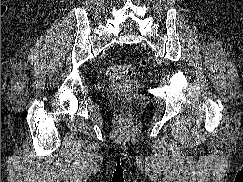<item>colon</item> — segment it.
Masks as SVG:
<instances>
[{
  "label": "colon",
  "mask_w": 243,
  "mask_h": 182,
  "mask_svg": "<svg viewBox=\"0 0 243 182\" xmlns=\"http://www.w3.org/2000/svg\"><path fill=\"white\" fill-rule=\"evenodd\" d=\"M146 61H142V65L145 66ZM107 74L111 79L120 80L129 77L132 74V68L125 64H114L107 68ZM126 102L131 101V97H125Z\"/></svg>",
  "instance_id": "obj_1"
}]
</instances>
